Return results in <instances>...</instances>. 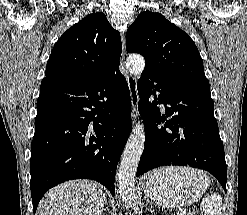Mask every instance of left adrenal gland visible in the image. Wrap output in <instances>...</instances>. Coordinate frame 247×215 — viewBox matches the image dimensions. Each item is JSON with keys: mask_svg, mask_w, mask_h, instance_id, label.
<instances>
[{"mask_svg": "<svg viewBox=\"0 0 247 215\" xmlns=\"http://www.w3.org/2000/svg\"><path fill=\"white\" fill-rule=\"evenodd\" d=\"M146 202L148 203V204H150L151 202H150V200H149V198L146 196Z\"/></svg>", "mask_w": 247, "mask_h": 215, "instance_id": "1", "label": "left adrenal gland"}]
</instances>
